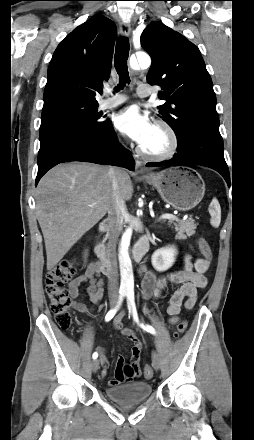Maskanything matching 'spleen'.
<instances>
[{
  "mask_svg": "<svg viewBox=\"0 0 254 440\" xmlns=\"http://www.w3.org/2000/svg\"><path fill=\"white\" fill-rule=\"evenodd\" d=\"M209 213L211 215V221H210L211 225L213 227H218L221 221V209L219 202L216 198H213L209 206Z\"/></svg>",
  "mask_w": 254,
  "mask_h": 440,
  "instance_id": "1",
  "label": "spleen"
}]
</instances>
